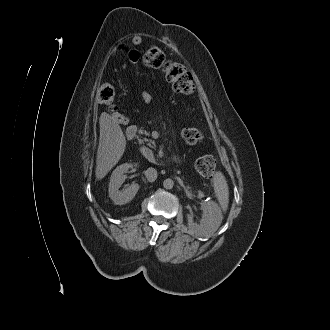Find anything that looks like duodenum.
<instances>
[{
    "label": "duodenum",
    "instance_id": "1",
    "mask_svg": "<svg viewBox=\"0 0 330 330\" xmlns=\"http://www.w3.org/2000/svg\"><path fill=\"white\" fill-rule=\"evenodd\" d=\"M135 132H136L135 128L129 127V128H127L126 135L129 139H133L135 136ZM141 152L147 160H149V161L155 160L154 154L148 148L143 147Z\"/></svg>",
    "mask_w": 330,
    "mask_h": 330
}]
</instances>
